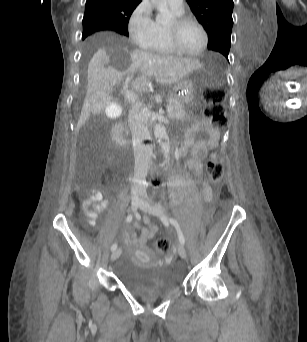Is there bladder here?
<instances>
[{"label":"bladder","instance_id":"1","mask_svg":"<svg viewBox=\"0 0 307 342\" xmlns=\"http://www.w3.org/2000/svg\"><path fill=\"white\" fill-rule=\"evenodd\" d=\"M119 279L130 292L147 299L166 296L180 285V279L173 271L144 265L130 258L123 260Z\"/></svg>","mask_w":307,"mask_h":342}]
</instances>
